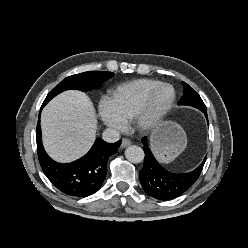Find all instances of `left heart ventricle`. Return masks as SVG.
Listing matches in <instances>:
<instances>
[{
	"instance_id": "obj_1",
	"label": "left heart ventricle",
	"mask_w": 248,
	"mask_h": 248,
	"mask_svg": "<svg viewBox=\"0 0 248 248\" xmlns=\"http://www.w3.org/2000/svg\"><path fill=\"white\" fill-rule=\"evenodd\" d=\"M171 97V90L168 88L162 89L156 98V105L162 106L164 105Z\"/></svg>"
}]
</instances>
